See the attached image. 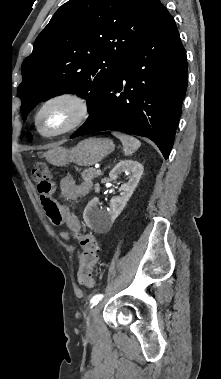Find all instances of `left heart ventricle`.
Listing matches in <instances>:
<instances>
[{
    "mask_svg": "<svg viewBox=\"0 0 221 379\" xmlns=\"http://www.w3.org/2000/svg\"><path fill=\"white\" fill-rule=\"evenodd\" d=\"M70 115L69 109L61 104L49 107L41 118V127L45 131H53L62 127Z\"/></svg>",
    "mask_w": 221,
    "mask_h": 379,
    "instance_id": "1",
    "label": "left heart ventricle"
}]
</instances>
